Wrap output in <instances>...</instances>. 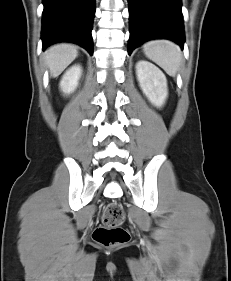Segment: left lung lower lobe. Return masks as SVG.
I'll list each match as a JSON object with an SVG mask.
<instances>
[{
	"label": "left lung lower lobe",
	"instance_id": "left-lung-lower-lobe-1",
	"mask_svg": "<svg viewBox=\"0 0 231 281\" xmlns=\"http://www.w3.org/2000/svg\"><path fill=\"white\" fill-rule=\"evenodd\" d=\"M130 38L128 53L151 39L165 38L183 49L185 40L181 0H128Z\"/></svg>",
	"mask_w": 231,
	"mask_h": 281
}]
</instances>
